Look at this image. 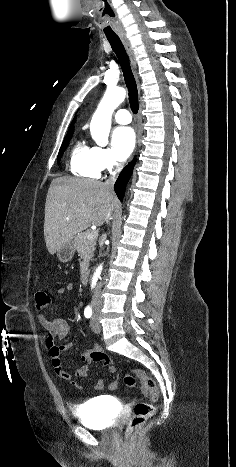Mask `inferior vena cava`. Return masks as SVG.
Listing matches in <instances>:
<instances>
[{
	"label": "inferior vena cava",
	"instance_id": "inferior-vena-cava-1",
	"mask_svg": "<svg viewBox=\"0 0 236 467\" xmlns=\"http://www.w3.org/2000/svg\"><path fill=\"white\" fill-rule=\"evenodd\" d=\"M116 181V175L115 173H113L109 179L106 180L105 182V185L107 188H109L110 190H112L113 186H114V183ZM101 284L99 283L95 289V292L92 296V302H91V305L92 307L95 309V308H100V306L102 305V300H101Z\"/></svg>",
	"mask_w": 236,
	"mask_h": 467
}]
</instances>
